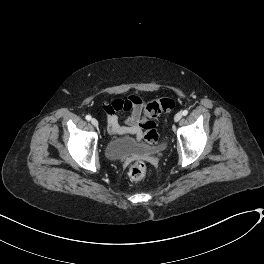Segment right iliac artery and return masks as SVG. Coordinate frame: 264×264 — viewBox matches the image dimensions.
<instances>
[{
	"instance_id": "82829eb1",
	"label": "right iliac artery",
	"mask_w": 264,
	"mask_h": 264,
	"mask_svg": "<svg viewBox=\"0 0 264 264\" xmlns=\"http://www.w3.org/2000/svg\"><path fill=\"white\" fill-rule=\"evenodd\" d=\"M85 118H86V120H88V121L91 120V116H90V115H87Z\"/></svg>"
}]
</instances>
